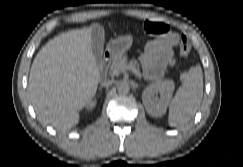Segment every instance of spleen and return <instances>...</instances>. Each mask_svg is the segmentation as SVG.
I'll return each mask as SVG.
<instances>
[{
	"mask_svg": "<svg viewBox=\"0 0 243 167\" xmlns=\"http://www.w3.org/2000/svg\"><path fill=\"white\" fill-rule=\"evenodd\" d=\"M182 86L169 105L170 126L186 124L195 115L203 98V72L200 65L191 67L180 76Z\"/></svg>",
	"mask_w": 243,
	"mask_h": 167,
	"instance_id": "spleen-1",
	"label": "spleen"
}]
</instances>
